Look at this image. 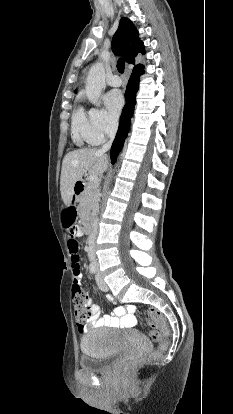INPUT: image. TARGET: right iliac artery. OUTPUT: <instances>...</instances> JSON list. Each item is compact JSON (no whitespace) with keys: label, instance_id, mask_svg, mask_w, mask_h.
Listing matches in <instances>:
<instances>
[{"label":"right iliac artery","instance_id":"obj_1","mask_svg":"<svg viewBox=\"0 0 233 414\" xmlns=\"http://www.w3.org/2000/svg\"><path fill=\"white\" fill-rule=\"evenodd\" d=\"M90 273L95 274L96 273V267L94 264L89 265Z\"/></svg>","mask_w":233,"mask_h":414}]
</instances>
